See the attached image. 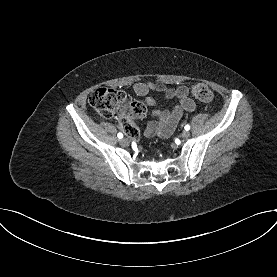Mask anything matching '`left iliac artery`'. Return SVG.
Returning a JSON list of instances; mask_svg holds the SVG:
<instances>
[{
  "mask_svg": "<svg viewBox=\"0 0 277 277\" xmlns=\"http://www.w3.org/2000/svg\"><path fill=\"white\" fill-rule=\"evenodd\" d=\"M189 129H190V125H186V126H185V130L188 131Z\"/></svg>",
  "mask_w": 277,
  "mask_h": 277,
  "instance_id": "44dca946",
  "label": "left iliac artery"
}]
</instances>
